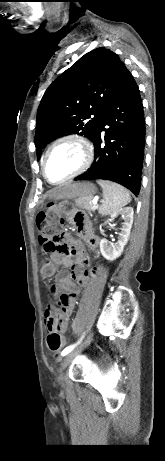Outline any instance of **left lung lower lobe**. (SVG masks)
Masks as SVG:
<instances>
[{
    "label": "left lung lower lobe",
    "instance_id": "obj_1",
    "mask_svg": "<svg viewBox=\"0 0 165 461\" xmlns=\"http://www.w3.org/2000/svg\"><path fill=\"white\" fill-rule=\"evenodd\" d=\"M103 140L105 146L101 147ZM92 141L97 161L75 180H111L125 186L135 195L139 194L145 120L138 85L128 70L109 102L101 126Z\"/></svg>",
    "mask_w": 165,
    "mask_h": 461
}]
</instances>
